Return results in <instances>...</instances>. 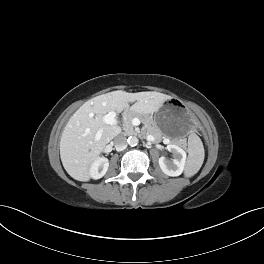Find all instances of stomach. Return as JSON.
I'll use <instances>...</instances> for the list:
<instances>
[{"label": "stomach", "instance_id": "obj_1", "mask_svg": "<svg viewBox=\"0 0 264 264\" xmlns=\"http://www.w3.org/2000/svg\"><path fill=\"white\" fill-rule=\"evenodd\" d=\"M153 120L163 134L171 137L185 135L190 130L186 107L180 98L167 100L165 107L155 114Z\"/></svg>", "mask_w": 264, "mask_h": 264}]
</instances>
